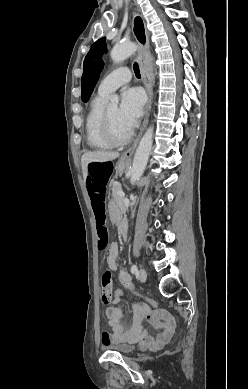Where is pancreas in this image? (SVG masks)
Returning <instances> with one entry per match:
<instances>
[{
  "label": "pancreas",
  "instance_id": "1",
  "mask_svg": "<svg viewBox=\"0 0 248 389\" xmlns=\"http://www.w3.org/2000/svg\"><path fill=\"white\" fill-rule=\"evenodd\" d=\"M110 188L112 190V198L113 201L115 202L116 206L121 210L125 211V206L123 204L124 197L120 196L118 194L119 191H121V185L117 182H111L110 183Z\"/></svg>",
  "mask_w": 248,
  "mask_h": 389
}]
</instances>
